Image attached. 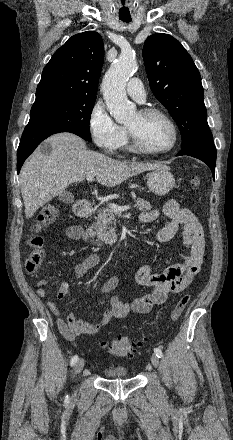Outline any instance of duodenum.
Segmentation results:
<instances>
[{
	"instance_id": "duodenum-1",
	"label": "duodenum",
	"mask_w": 233,
	"mask_h": 440,
	"mask_svg": "<svg viewBox=\"0 0 233 440\" xmlns=\"http://www.w3.org/2000/svg\"><path fill=\"white\" fill-rule=\"evenodd\" d=\"M74 212L78 217L87 218L93 215L94 207L88 201L80 200L75 204ZM81 236L85 240L94 241V236L86 230H83Z\"/></svg>"
}]
</instances>
